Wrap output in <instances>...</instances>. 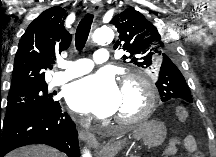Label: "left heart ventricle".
<instances>
[{"label": "left heart ventricle", "instance_id": "left-heart-ventricle-1", "mask_svg": "<svg viewBox=\"0 0 216 157\" xmlns=\"http://www.w3.org/2000/svg\"><path fill=\"white\" fill-rule=\"evenodd\" d=\"M141 91L133 86L121 90V103L114 113L115 117H130L137 114L143 106Z\"/></svg>", "mask_w": 216, "mask_h": 157}]
</instances>
